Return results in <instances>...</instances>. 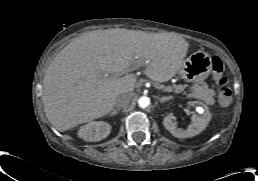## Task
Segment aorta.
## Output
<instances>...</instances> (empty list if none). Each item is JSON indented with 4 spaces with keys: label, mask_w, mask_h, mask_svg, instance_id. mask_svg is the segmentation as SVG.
I'll use <instances>...</instances> for the list:
<instances>
[{
    "label": "aorta",
    "mask_w": 258,
    "mask_h": 181,
    "mask_svg": "<svg viewBox=\"0 0 258 181\" xmlns=\"http://www.w3.org/2000/svg\"><path fill=\"white\" fill-rule=\"evenodd\" d=\"M138 105L141 107V108H146L150 105V98L147 97V96H142L139 98L138 100Z\"/></svg>",
    "instance_id": "762f6f07"
}]
</instances>
